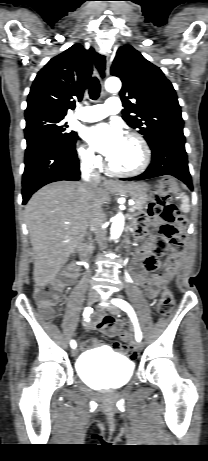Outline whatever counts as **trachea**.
<instances>
[{"label": "trachea", "mask_w": 208, "mask_h": 461, "mask_svg": "<svg viewBox=\"0 0 208 461\" xmlns=\"http://www.w3.org/2000/svg\"><path fill=\"white\" fill-rule=\"evenodd\" d=\"M97 54V59L99 58ZM101 71V70H100ZM100 94V83L97 77H93L89 86V95L92 100H97Z\"/></svg>", "instance_id": "trachea-1"}]
</instances>
